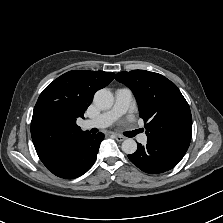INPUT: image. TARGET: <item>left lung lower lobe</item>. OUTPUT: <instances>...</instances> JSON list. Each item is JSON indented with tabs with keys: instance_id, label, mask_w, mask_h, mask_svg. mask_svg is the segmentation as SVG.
Listing matches in <instances>:
<instances>
[{
	"instance_id": "0a47b994",
	"label": "left lung lower lobe",
	"mask_w": 223,
	"mask_h": 223,
	"mask_svg": "<svg viewBox=\"0 0 223 223\" xmlns=\"http://www.w3.org/2000/svg\"><path fill=\"white\" fill-rule=\"evenodd\" d=\"M185 153L148 140L146 146L138 143L137 151L128 158L142 171L156 174L175 167Z\"/></svg>"
}]
</instances>
